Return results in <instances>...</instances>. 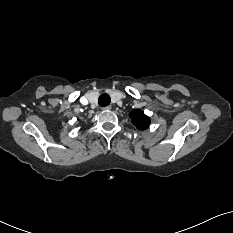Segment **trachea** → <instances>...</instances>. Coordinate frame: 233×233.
Wrapping results in <instances>:
<instances>
[{
    "label": "trachea",
    "instance_id": "3493384b",
    "mask_svg": "<svg viewBox=\"0 0 233 233\" xmlns=\"http://www.w3.org/2000/svg\"><path fill=\"white\" fill-rule=\"evenodd\" d=\"M110 101H111L110 96L106 93L101 94L99 96L98 102L100 106H103V107L108 106L110 104Z\"/></svg>",
    "mask_w": 233,
    "mask_h": 233
}]
</instances>
